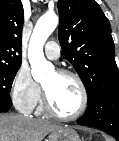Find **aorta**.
<instances>
[{
	"label": "aorta",
	"instance_id": "762f6f07",
	"mask_svg": "<svg viewBox=\"0 0 119 141\" xmlns=\"http://www.w3.org/2000/svg\"><path fill=\"white\" fill-rule=\"evenodd\" d=\"M57 25L58 16L56 14H45L40 17L34 27L29 42L28 59L35 81H42L48 72L54 70L53 65L44 57L43 46Z\"/></svg>",
	"mask_w": 119,
	"mask_h": 141
}]
</instances>
